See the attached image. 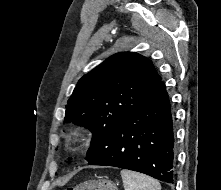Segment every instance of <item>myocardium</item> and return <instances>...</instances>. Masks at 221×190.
<instances>
[{"label":"myocardium","mask_w":221,"mask_h":190,"mask_svg":"<svg viewBox=\"0 0 221 190\" xmlns=\"http://www.w3.org/2000/svg\"><path fill=\"white\" fill-rule=\"evenodd\" d=\"M84 137H85V134L83 130L75 129L68 134L66 140H67L68 145L75 147L83 143Z\"/></svg>","instance_id":"obj_1"}]
</instances>
